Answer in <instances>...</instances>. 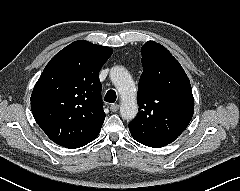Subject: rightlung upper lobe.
Masks as SVG:
<instances>
[{"label":"right lung upper lobe","instance_id":"obj_1","mask_svg":"<svg viewBox=\"0 0 240 191\" xmlns=\"http://www.w3.org/2000/svg\"><path fill=\"white\" fill-rule=\"evenodd\" d=\"M112 48L78 40L46 65L31 95L33 116L56 144L79 148L93 141L105 119L99 71Z\"/></svg>","mask_w":240,"mask_h":191}]
</instances>
